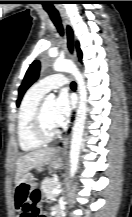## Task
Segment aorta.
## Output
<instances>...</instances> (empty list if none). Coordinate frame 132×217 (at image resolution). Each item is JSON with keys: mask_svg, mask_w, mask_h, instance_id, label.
I'll list each match as a JSON object with an SVG mask.
<instances>
[{"mask_svg": "<svg viewBox=\"0 0 132 217\" xmlns=\"http://www.w3.org/2000/svg\"><path fill=\"white\" fill-rule=\"evenodd\" d=\"M53 69L57 72H68L74 76L79 89V106L76 113L75 123L72 130L71 146H70V175L73 177L77 170V164L82 144L84 125L87 116V90L85 80L76 67V65L68 60H56L53 64ZM55 95L49 94L46 102L53 103Z\"/></svg>", "mask_w": 132, "mask_h": 217, "instance_id": "1", "label": "aorta"}]
</instances>
